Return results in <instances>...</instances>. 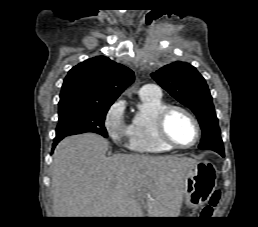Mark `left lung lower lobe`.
I'll use <instances>...</instances> for the list:
<instances>
[{"label":"left lung lower lobe","mask_w":258,"mask_h":227,"mask_svg":"<svg viewBox=\"0 0 258 227\" xmlns=\"http://www.w3.org/2000/svg\"><path fill=\"white\" fill-rule=\"evenodd\" d=\"M219 154H221L222 156H224V152H220Z\"/></svg>","instance_id":"obj_1"}]
</instances>
